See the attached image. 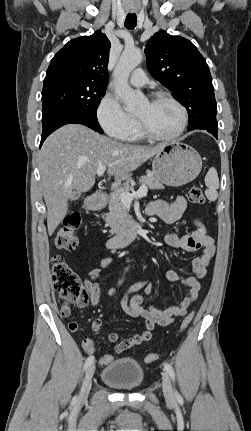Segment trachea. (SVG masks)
<instances>
[{
  "label": "trachea",
  "mask_w": 251,
  "mask_h": 431,
  "mask_svg": "<svg viewBox=\"0 0 251 431\" xmlns=\"http://www.w3.org/2000/svg\"><path fill=\"white\" fill-rule=\"evenodd\" d=\"M137 25V16L136 14H128L125 19V27L129 30H132Z\"/></svg>",
  "instance_id": "obj_1"
}]
</instances>
